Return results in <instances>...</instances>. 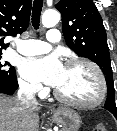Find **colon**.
<instances>
[{
  "instance_id": "colon-1",
  "label": "colon",
  "mask_w": 117,
  "mask_h": 131,
  "mask_svg": "<svg viewBox=\"0 0 117 131\" xmlns=\"http://www.w3.org/2000/svg\"><path fill=\"white\" fill-rule=\"evenodd\" d=\"M92 131H108V130L103 124H98L92 129Z\"/></svg>"
}]
</instances>
